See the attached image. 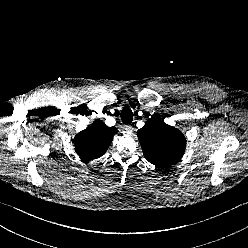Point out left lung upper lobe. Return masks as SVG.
Masks as SVG:
<instances>
[{
    "label": "left lung upper lobe",
    "mask_w": 248,
    "mask_h": 248,
    "mask_svg": "<svg viewBox=\"0 0 248 248\" xmlns=\"http://www.w3.org/2000/svg\"><path fill=\"white\" fill-rule=\"evenodd\" d=\"M137 135L145 158L158 168L175 164L184 154V135L160 118L147 120Z\"/></svg>",
    "instance_id": "5c2ea615"
}]
</instances>
